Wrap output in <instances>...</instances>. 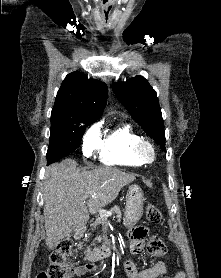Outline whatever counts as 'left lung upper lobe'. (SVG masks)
Masks as SVG:
<instances>
[{
    "label": "left lung upper lobe",
    "mask_w": 221,
    "mask_h": 278,
    "mask_svg": "<svg viewBox=\"0 0 221 278\" xmlns=\"http://www.w3.org/2000/svg\"><path fill=\"white\" fill-rule=\"evenodd\" d=\"M112 89L121 104L141 128L165 151V131L156 92L141 76L123 83H114Z\"/></svg>",
    "instance_id": "5c2ea615"
}]
</instances>
